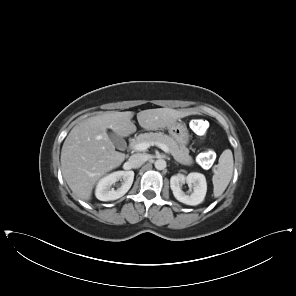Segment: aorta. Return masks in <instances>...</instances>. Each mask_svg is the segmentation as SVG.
<instances>
[{
  "label": "aorta",
  "instance_id": "aorta-1",
  "mask_svg": "<svg viewBox=\"0 0 296 296\" xmlns=\"http://www.w3.org/2000/svg\"><path fill=\"white\" fill-rule=\"evenodd\" d=\"M154 166L157 170H163L166 168V161L164 159H158L155 161Z\"/></svg>",
  "mask_w": 296,
  "mask_h": 296
}]
</instances>
